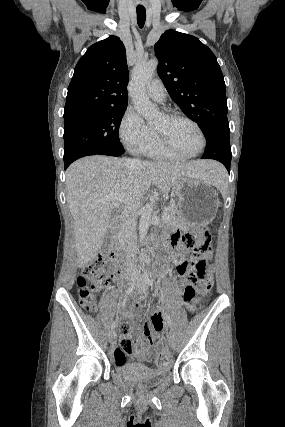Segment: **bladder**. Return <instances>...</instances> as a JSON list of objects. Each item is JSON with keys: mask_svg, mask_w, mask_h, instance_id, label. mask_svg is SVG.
Listing matches in <instances>:
<instances>
[{"mask_svg": "<svg viewBox=\"0 0 285 427\" xmlns=\"http://www.w3.org/2000/svg\"><path fill=\"white\" fill-rule=\"evenodd\" d=\"M124 381L138 389H148L159 384L166 378L164 370H152L140 363H130L115 369Z\"/></svg>", "mask_w": 285, "mask_h": 427, "instance_id": "1", "label": "bladder"}]
</instances>
